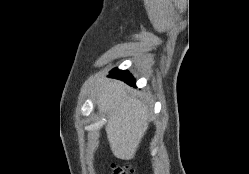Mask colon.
I'll use <instances>...</instances> for the list:
<instances>
[{"label":"colon","instance_id":"colon-1","mask_svg":"<svg viewBox=\"0 0 249 174\" xmlns=\"http://www.w3.org/2000/svg\"><path fill=\"white\" fill-rule=\"evenodd\" d=\"M114 174H134L135 170L129 165H114Z\"/></svg>","mask_w":249,"mask_h":174}]
</instances>
